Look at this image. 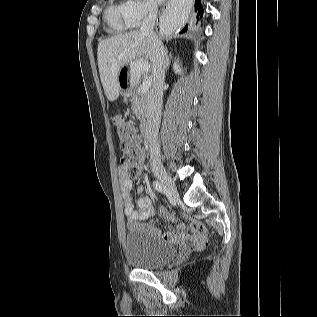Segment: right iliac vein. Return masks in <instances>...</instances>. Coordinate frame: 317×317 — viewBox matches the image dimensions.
Returning <instances> with one entry per match:
<instances>
[{
	"mask_svg": "<svg viewBox=\"0 0 317 317\" xmlns=\"http://www.w3.org/2000/svg\"><path fill=\"white\" fill-rule=\"evenodd\" d=\"M157 179L168 190L173 198H177V190L173 179L163 170L155 172Z\"/></svg>",
	"mask_w": 317,
	"mask_h": 317,
	"instance_id": "right-iliac-vein-1",
	"label": "right iliac vein"
}]
</instances>
